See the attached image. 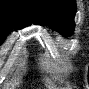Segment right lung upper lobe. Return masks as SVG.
<instances>
[{"label": "right lung upper lobe", "mask_w": 89, "mask_h": 89, "mask_svg": "<svg viewBox=\"0 0 89 89\" xmlns=\"http://www.w3.org/2000/svg\"><path fill=\"white\" fill-rule=\"evenodd\" d=\"M33 19L31 0H0V25L21 29Z\"/></svg>", "instance_id": "cb5924a9"}]
</instances>
